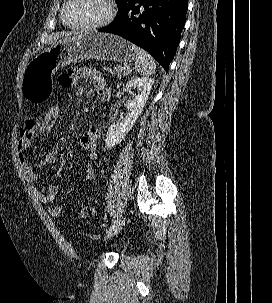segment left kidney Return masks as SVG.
<instances>
[{
	"label": "left kidney",
	"mask_w": 272,
	"mask_h": 303,
	"mask_svg": "<svg viewBox=\"0 0 272 303\" xmlns=\"http://www.w3.org/2000/svg\"><path fill=\"white\" fill-rule=\"evenodd\" d=\"M154 84V79L149 77H135L126 84L127 91L136 88L138 94H132L133 100L127 105V114L125 117L112 124L107 131L106 147L111 149L119 144L131 130L134 123L141 114Z\"/></svg>",
	"instance_id": "5707ae66"
}]
</instances>
